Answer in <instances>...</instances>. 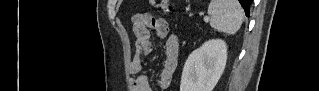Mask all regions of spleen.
Masks as SVG:
<instances>
[{"label": "spleen", "instance_id": "1", "mask_svg": "<svg viewBox=\"0 0 319 91\" xmlns=\"http://www.w3.org/2000/svg\"><path fill=\"white\" fill-rule=\"evenodd\" d=\"M210 26L228 35L235 34L243 22V9L237 0H212L208 6Z\"/></svg>", "mask_w": 319, "mask_h": 91}]
</instances>
